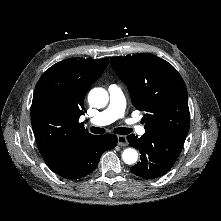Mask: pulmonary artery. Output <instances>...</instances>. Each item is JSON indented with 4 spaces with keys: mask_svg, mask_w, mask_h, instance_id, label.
Segmentation results:
<instances>
[{
    "mask_svg": "<svg viewBox=\"0 0 221 221\" xmlns=\"http://www.w3.org/2000/svg\"><path fill=\"white\" fill-rule=\"evenodd\" d=\"M108 91L110 98L108 107L90 119L94 126H105L124 116L126 102L121 87L110 85ZM126 123L139 135L145 134L144 127L138 125L135 119H126Z\"/></svg>",
    "mask_w": 221,
    "mask_h": 221,
    "instance_id": "obj_1",
    "label": "pulmonary artery"
}]
</instances>
